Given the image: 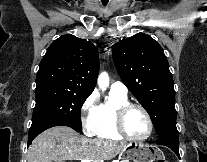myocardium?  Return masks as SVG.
Listing matches in <instances>:
<instances>
[{
  "label": "myocardium",
  "instance_id": "obj_1",
  "mask_svg": "<svg viewBox=\"0 0 207 162\" xmlns=\"http://www.w3.org/2000/svg\"><path fill=\"white\" fill-rule=\"evenodd\" d=\"M132 109H139L140 111L143 112V114L145 115L147 122H148V131L146 133V135H144L143 137L140 138H135L130 136L126 129H125V119L127 114L132 110ZM114 124H115V129L117 131V133L130 141H134V142H143L145 140H147L153 133L154 130V124H153V120L148 112V110L137 103H125L124 105L120 106L119 108H117L115 110V116H114Z\"/></svg>",
  "mask_w": 207,
  "mask_h": 162
}]
</instances>
